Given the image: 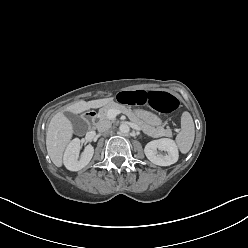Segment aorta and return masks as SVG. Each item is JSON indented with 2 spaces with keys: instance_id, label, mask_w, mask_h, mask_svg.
I'll list each match as a JSON object with an SVG mask.
<instances>
[{
  "instance_id": "1",
  "label": "aorta",
  "mask_w": 248,
  "mask_h": 248,
  "mask_svg": "<svg viewBox=\"0 0 248 248\" xmlns=\"http://www.w3.org/2000/svg\"><path fill=\"white\" fill-rule=\"evenodd\" d=\"M119 131L123 134H127L130 131V127L127 124H121L119 127Z\"/></svg>"
}]
</instances>
